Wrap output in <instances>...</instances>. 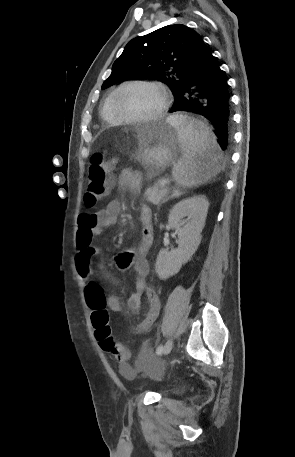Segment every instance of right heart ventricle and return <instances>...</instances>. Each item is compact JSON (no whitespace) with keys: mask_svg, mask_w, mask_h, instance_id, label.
I'll return each mask as SVG.
<instances>
[{"mask_svg":"<svg viewBox=\"0 0 295 457\" xmlns=\"http://www.w3.org/2000/svg\"><path fill=\"white\" fill-rule=\"evenodd\" d=\"M115 90L111 91L105 100L102 103L101 106V116L105 122L111 125H118L124 122L122 119H120L113 111L112 109V99L114 95Z\"/></svg>","mask_w":295,"mask_h":457,"instance_id":"right-heart-ventricle-1","label":"right heart ventricle"}]
</instances>
